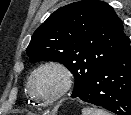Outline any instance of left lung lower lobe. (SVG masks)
Returning <instances> with one entry per match:
<instances>
[{
    "instance_id": "left-lung-lower-lobe-1",
    "label": "left lung lower lobe",
    "mask_w": 131,
    "mask_h": 115,
    "mask_svg": "<svg viewBox=\"0 0 131 115\" xmlns=\"http://www.w3.org/2000/svg\"><path fill=\"white\" fill-rule=\"evenodd\" d=\"M117 115H131V47L106 64L77 96Z\"/></svg>"
}]
</instances>
